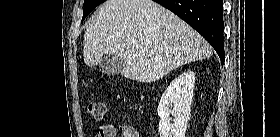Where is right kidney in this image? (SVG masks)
<instances>
[{
    "label": "right kidney",
    "mask_w": 280,
    "mask_h": 137,
    "mask_svg": "<svg viewBox=\"0 0 280 137\" xmlns=\"http://www.w3.org/2000/svg\"><path fill=\"white\" fill-rule=\"evenodd\" d=\"M194 84L195 73L186 71L174 79L163 93L157 108L160 137H184L190 118ZM170 114L174 117L173 124H170Z\"/></svg>",
    "instance_id": "ca27d5eb"
}]
</instances>
